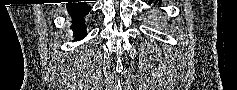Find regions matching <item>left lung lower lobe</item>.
<instances>
[{
    "mask_svg": "<svg viewBox=\"0 0 237 90\" xmlns=\"http://www.w3.org/2000/svg\"><path fill=\"white\" fill-rule=\"evenodd\" d=\"M149 3H152V1H149ZM155 3H156V2H155ZM158 3H159V5H161V1H159Z\"/></svg>",
    "mask_w": 237,
    "mask_h": 90,
    "instance_id": "0a47b994",
    "label": "left lung lower lobe"
}]
</instances>
